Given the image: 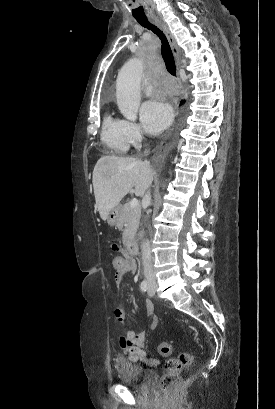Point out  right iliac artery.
<instances>
[{
  "label": "right iliac artery",
  "instance_id": "1",
  "mask_svg": "<svg viewBox=\"0 0 275 409\" xmlns=\"http://www.w3.org/2000/svg\"><path fill=\"white\" fill-rule=\"evenodd\" d=\"M148 288H149L148 282L145 281V280L142 281L141 284H140V289H141L143 292H145V291L148 290Z\"/></svg>",
  "mask_w": 275,
  "mask_h": 409
}]
</instances>
